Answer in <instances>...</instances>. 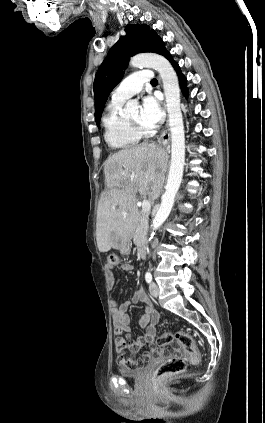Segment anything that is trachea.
Returning <instances> with one entry per match:
<instances>
[{"label": "trachea", "mask_w": 265, "mask_h": 423, "mask_svg": "<svg viewBox=\"0 0 265 423\" xmlns=\"http://www.w3.org/2000/svg\"><path fill=\"white\" fill-rule=\"evenodd\" d=\"M157 83H158L157 79H152L151 80V84H157Z\"/></svg>", "instance_id": "3493384b"}]
</instances>
